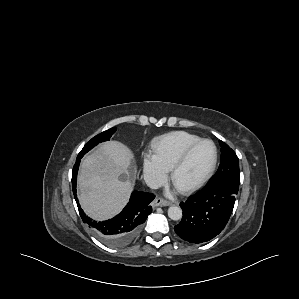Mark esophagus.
Wrapping results in <instances>:
<instances>
[{
	"label": "esophagus",
	"instance_id": "1",
	"mask_svg": "<svg viewBox=\"0 0 299 299\" xmlns=\"http://www.w3.org/2000/svg\"><path fill=\"white\" fill-rule=\"evenodd\" d=\"M153 205H154L155 207H158V206H160V207H164V206H169L170 203H169L168 201H166V200H164V199L158 197V198H155V199H154V201H153Z\"/></svg>",
	"mask_w": 299,
	"mask_h": 299
}]
</instances>
